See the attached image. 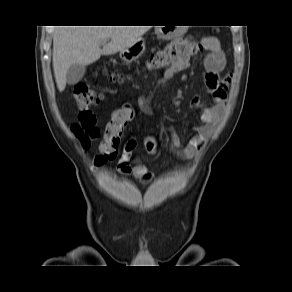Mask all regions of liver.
I'll use <instances>...</instances> for the list:
<instances>
[{"instance_id":"1","label":"liver","mask_w":292,"mask_h":292,"mask_svg":"<svg viewBox=\"0 0 292 292\" xmlns=\"http://www.w3.org/2000/svg\"><path fill=\"white\" fill-rule=\"evenodd\" d=\"M148 29V26H58L53 35V71L58 90L65 89L66 73L72 65L86 66L101 55L128 49ZM108 38L111 41L101 49Z\"/></svg>"}]
</instances>
